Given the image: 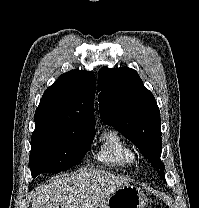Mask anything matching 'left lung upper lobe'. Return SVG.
<instances>
[{
  "instance_id": "obj_1",
  "label": "left lung upper lobe",
  "mask_w": 199,
  "mask_h": 208,
  "mask_svg": "<svg viewBox=\"0 0 199 208\" xmlns=\"http://www.w3.org/2000/svg\"><path fill=\"white\" fill-rule=\"evenodd\" d=\"M98 92L103 122L133 142L165 180V167L160 160V111L137 72L128 67L102 68L98 73Z\"/></svg>"
}]
</instances>
